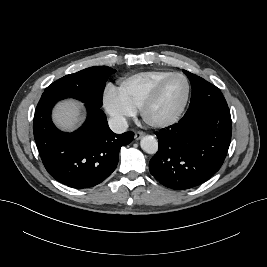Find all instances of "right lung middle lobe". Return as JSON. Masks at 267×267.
Segmentation results:
<instances>
[{"label":"right lung middle lobe","mask_w":267,"mask_h":267,"mask_svg":"<svg viewBox=\"0 0 267 267\" xmlns=\"http://www.w3.org/2000/svg\"><path fill=\"white\" fill-rule=\"evenodd\" d=\"M115 72L116 70L107 66L86 68L53 82L43 94L71 97L101 107L106 81Z\"/></svg>","instance_id":"right-lung-middle-lobe-1"}]
</instances>
